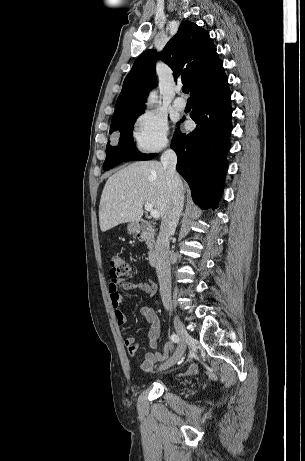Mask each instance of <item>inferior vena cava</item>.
<instances>
[{
    "mask_svg": "<svg viewBox=\"0 0 305 461\" xmlns=\"http://www.w3.org/2000/svg\"><path fill=\"white\" fill-rule=\"evenodd\" d=\"M161 164L165 170L169 188V205L162 217L160 232L155 249L156 273L163 305H171V276L169 260V237L175 232L184 204L182 181L176 172V153L168 149L161 156Z\"/></svg>",
    "mask_w": 305,
    "mask_h": 461,
    "instance_id": "obj_1",
    "label": "inferior vena cava"
}]
</instances>
